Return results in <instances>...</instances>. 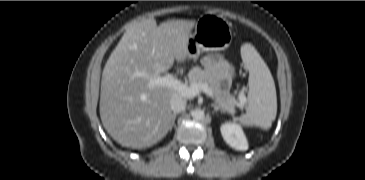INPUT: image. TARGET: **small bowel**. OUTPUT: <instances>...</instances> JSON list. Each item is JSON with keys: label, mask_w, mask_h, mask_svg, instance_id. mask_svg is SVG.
Instances as JSON below:
<instances>
[{"label": "small bowel", "mask_w": 365, "mask_h": 180, "mask_svg": "<svg viewBox=\"0 0 365 180\" xmlns=\"http://www.w3.org/2000/svg\"><path fill=\"white\" fill-rule=\"evenodd\" d=\"M202 63L215 84L230 86L234 78V69L230 64L221 60L219 55L205 56Z\"/></svg>", "instance_id": "obj_1"}]
</instances>
